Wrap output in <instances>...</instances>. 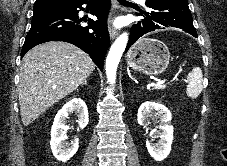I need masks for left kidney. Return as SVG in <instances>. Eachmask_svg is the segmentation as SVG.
Wrapping results in <instances>:
<instances>
[{"label": "left kidney", "mask_w": 227, "mask_h": 166, "mask_svg": "<svg viewBox=\"0 0 227 166\" xmlns=\"http://www.w3.org/2000/svg\"><path fill=\"white\" fill-rule=\"evenodd\" d=\"M153 115L158 116L161 121V125L159 126L160 131L158 132L160 140L156 144L147 140L146 147L152 158L156 161H162L171 151L173 126L170 125V121L172 115L164 105L153 101H146L138 109V124L146 127L149 124V118Z\"/></svg>", "instance_id": "obj_1"}]
</instances>
